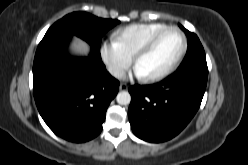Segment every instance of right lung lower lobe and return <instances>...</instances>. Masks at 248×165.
Returning <instances> with one entry per match:
<instances>
[{"instance_id":"98d812e1","label":"right lung lower lobe","mask_w":248,"mask_h":165,"mask_svg":"<svg viewBox=\"0 0 248 165\" xmlns=\"http://www.w3.org/2000/svg\"><path fill=\"white\" fill-rule=\"evenodd\" d=\"M70 38L39 45L33 63L34 98L45 123L58 136L86 142L102 131L119 82L92 49L86 58H68Z\"/></svg>"}]
</instances>
